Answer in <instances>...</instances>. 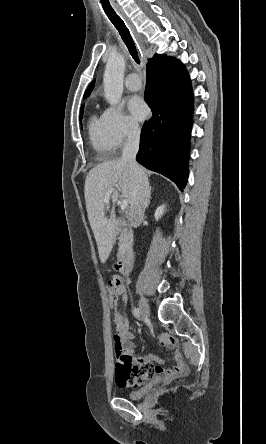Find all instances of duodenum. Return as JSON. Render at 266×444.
Masks as SVG:
<instances>
[{
    "mask_svg": "<svg viewBox=\"0 0 266 444\" xmlns=\"http://www.w3.org/2000/svg\"><path fill=\"white\" fill-rule=\"evenodd\" d=\"M116 265L122 275H129L132 266V253L129 250L125 251L117 261Z\"/></svg>",
    "mask_w": 266,
    "mask_h": 444,
    "instance_id": "obj_1",
    "label": "duodenum"
}]
</instances>
